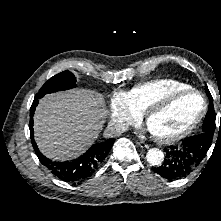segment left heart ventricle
I'll return each instance as SVG.
<instances>
[{
  "label": "left heart ventricle",
  "instance_id": "b2bd125f",
  "mask_svg": "<svg viewBox=\"0 0 221 221\" xmlns=\"http://www.w3.org/2000/svg\"><path fill=\"white\" fill-rule=\"evenodd\" d=\"M202 99L199 95L188 94L180 97L148 121V129L161 135H170L188 125L199 113Z\"/></svg>",
  "mask_w": 221,
  "mask_h": 221
}]
</instances>
